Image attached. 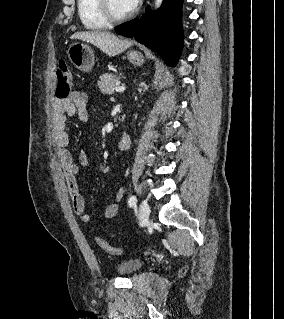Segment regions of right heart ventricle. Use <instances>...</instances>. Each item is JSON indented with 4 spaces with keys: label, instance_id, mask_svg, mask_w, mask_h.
Segmentation results:
<instances>
[{
    "label": "right heart ventricle",
    "instance_id": "right-heart-ventricle-1",
    "mask_svg": "<svg viewBox=\"0 0 284 319\" xmlns=\"http://www.w3.org/2000/svg\"><path fill=\"white\" fill-rule=\"evenodd\" d=\"M77 10L87 29H104L109 25L100 10L99 0H77Z\"/></svg>",
    "mask_w": 284,
    "mask_h": 319
}]
</instances>
